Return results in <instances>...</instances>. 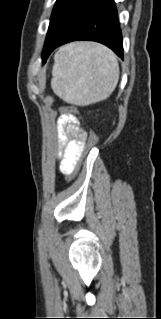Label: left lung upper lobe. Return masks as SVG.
<instances>
[{
    "instance_id": "obj_1",
    "label": "left lung upper lobe",
    "mask_w": 161,
    "mask_h": 319,
    "mask_svg": "<svg viewBox=\"0 0 161 319\" xmlns=\"http://www.w3.org/2000/svg\"><path fill=\"white\" fill-rule=\"evenodd\" d=\"M101 1L102 0H57L50 18L43 55L52 44L61 39Z\"/></svg>"
}]
</instances>
